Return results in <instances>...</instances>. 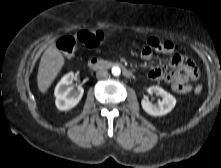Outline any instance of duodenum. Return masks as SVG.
I'll return each instance as SVG.
<instances>
[{"label": "duodenum", "instance_id": "duodenum-1", "mask_svg": "<svg viewBox=\"0 0 221 168\" xmlns=\"http://www.w3.org/2000/svg\"><path fill=\"white\" fill-rule=\"evenodd\" d=\"M88 66L93 70H102V69H107L111 67H119L121 68L123 75L126 78L133 77V72L124 64H122L121 62H117V61H106L100 58H91L88 61Z\"/></svg>", "mask_w": 221, "mask_h": 168}]
</instances>
